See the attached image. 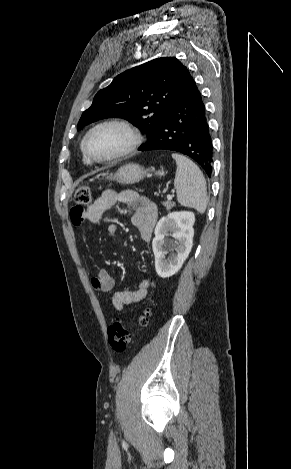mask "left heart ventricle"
<instances>
[{"label":"left heart ventricle","mask_w":291,"mask_h":469,"mask_svg":"<svg viewBox=\"0 0 291 469\" xmlns=\"http://www.w3.org/2000/svg\"><path fill=\"white\" fill-rule=\"evenodd\" d=\"M130 142L128 132L119 126H104L90 136L88 150L93 157L106 158L122 151Z\"/></svg>","instance_id":"left-heart-ventricle-1"}]
</instances>
